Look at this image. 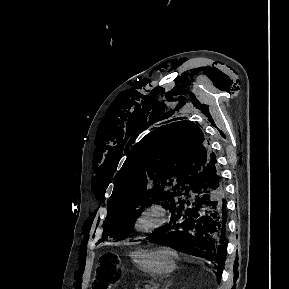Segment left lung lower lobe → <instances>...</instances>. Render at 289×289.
<instances>
[{"mask_svg": "<svg viewBox=\"0 0 289 289\" xmlns=\"http://www.w3.org/2000/svg\"><path fill=\"white\" fill-rule=\"evenodd\" d=\"M169 224L156 229L151 243L206 258L216 265L220 280L226 256V200L216 156L185 187L171 205Z\"/></svg>", "mask_w": 289, "mask_h": 289, "instance_id": "obj_1", "label": "left lung lower lobe"}]
</instances>
